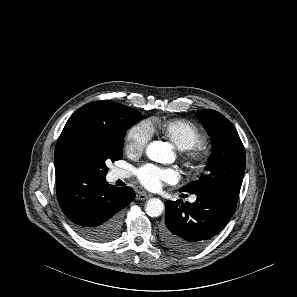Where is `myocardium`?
Wrapping results in <instances>:
<instances>
[{"instance_id": "1", "label": "myocardium", "mask_w": 297, "mask_h": 297, "mask_svg": "<svg viewBox=\"0 0 297 297\" xmlns=\"http://www.w3.org/2000/svg\"><path fill=\"white\" fill-rule=\"evenodd\" d=\"M184 157L194 170H201L208 162L209 151L202 145L184 150Z\"/></svg>"}]
</instances>
